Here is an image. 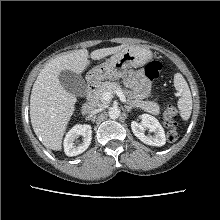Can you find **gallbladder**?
Instances as JSON below:
<instances>
[{
  "label": "gallbladder",
  "mask_w": 220,
  "mask_h": 220,
  "mask_svg": "<svg viewBox=\"0 0 220 220\" xmlns=\"http://www.w3.org/2000/svg\"><path fill=\"white\" fill-rule=\"evenodd\" d=\"M59 80L61 85L71 94L81 97L86 95L87 85L81 75L66 70L59 74Z\"/></svg>",
  "instance_id": "bac80fb5"
}]
</instances>
